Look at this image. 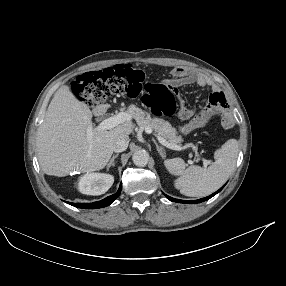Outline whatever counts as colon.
<instances>
[{
    "label": "colon",
    "instance_id": "obj_1",
    "mask_svg": "<svg viewBox=\"0 0 286 286\" xmlns=\"http://www.w3.org/2000/svg\"><path fill=\"white\" fill-rule=\"evenodd\" d=\"M72 89L79 100L90 106L103 103L114 95L124 94L129 97L140 95L143 103L158 116L172 117L176 111L172 89L163 83L147 81L143 71L130 65H117L81 74L74 79ZM212 115L213 112H210L209 116L182 123L181 133L189 135L192 131L205 129Z\"/></svg>",
    "mask_w": 286,
    "mask_h": 286
}]
</instances>
